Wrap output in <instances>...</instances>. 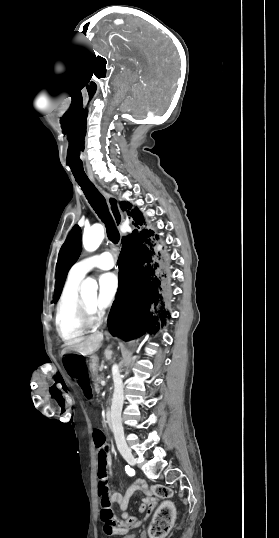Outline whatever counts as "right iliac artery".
<instances>
[{
	"label": "right iliac artery",
	"instance_id": "obj_1",
	"mask_svg": "<svg viewBox=\"0 0 279 538\" xmlns=\"http://www.w3.org/2000/svg\"><path fill=\"white\" fill-rule=\"evenodd\" d=\"M125 471L129 476H133L135 474L134 469L130 468L129 466L125 467Z\"/></svg>",
	"mask_w": 279,
	"mask_h": 538
}]
</instances>
